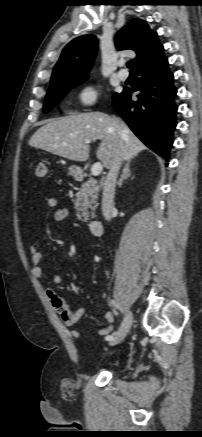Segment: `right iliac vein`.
Returning a JSON list of instances; mask_svg holds the SVG:
<instances>
[{"instance_id":"right-iliac-vein-1","label":"right iliac vein","mask_w":202,"mask_h":437,"mask_svg":"<svg viewBox=\"0 0 202 437\" xmlns=\"http://www.w3.org/2000/svg\"><path fill=\"white\" fill-rule=\"evenodd\" d=\"M133 322V315L131 312H128L127 316L125 317L123 323L121 324L120 328L116 333H114L113 339L110 340V345H116L120 343L128 334Z\"/></svg>"}]
</instances>
